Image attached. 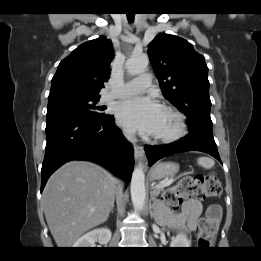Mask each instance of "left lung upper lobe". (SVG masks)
Listing matches in <instances>:
<instances>
[{
  "label": "left lung upper lobe",
  "instance_id": "5c2ea615",
  "mask_svg": "<svg viewBox=\"0 0 261 261\" xmlns=\"http://www.w3.org/2000/svg\"><path fill=\"white\" fill-rule=\"evenodd\" d=\"M148 55L164 97L187 116V125L212 126L204 56L183 38L165 33L149 44Z\"/></svg>",
  "mask_w": 261,
  "mask_h": 261
}]
</instances>
